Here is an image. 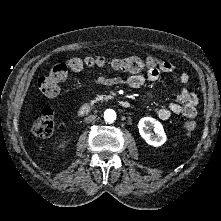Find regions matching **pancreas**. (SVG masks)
Masks as SVG:
<instances>
[{
  "label": "pancreas",
  "mask_w": 221,
  "mask_h": 221,
  "mask_svg": "<svg viewBox=\"0 0 221 221\" xmlns=\"http://www.w3.org/2000/svg\"><path fill=\"white\" fill-rule=\"evenodd\" d=\"M113 97L111 95H104V94H101V95H97L95 97V99L92 100V103H95L97 101H106V100H109V99H112Z\"/></svg>",
  "instance_id": "obj_1"
}]
</instances>
